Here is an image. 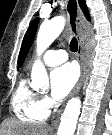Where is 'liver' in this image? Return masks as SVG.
Returning <instances> with one entry per match:
<instances>
[{
    "label": "liver",
    "instance_id": "6515ba94",
    "mask_svg": "<svg viewBox=\"0 0 112 135\" xmlns=\"http://www.w3.org/2000/svg\"><path fill=\"white\" fill-rule=\"evenodd\" d=\"M2 135H50V128L47 124L28 125L14 119L3 122Z\"/></svg>",
    "mask_w": 112,
    "mask_h": 135
}]
</instances>
